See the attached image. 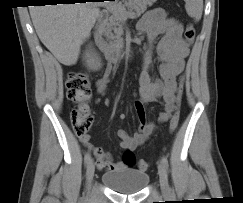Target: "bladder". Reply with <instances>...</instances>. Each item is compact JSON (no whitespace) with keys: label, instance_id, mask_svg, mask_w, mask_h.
I'll return each mask as SVG.
<instances>
[{"label":"bladder","instance_id":"31cf9c89","mask_svg":"<svg viewBox=\"0 0 243 203\" xmlns=\"http://www.w3.org/2000/svg\"><path fill=\"white\" fill-rule=\"evenodd\" d=\"M103 183L121 194L140 192L149 181V174L143 170L118 168L102 175Z\"/></svg>","mask_w":243,"mask_h":203}]
</instances>
